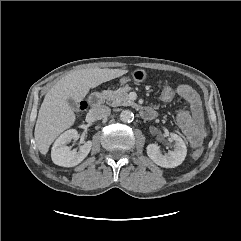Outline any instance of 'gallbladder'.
Returning a JSON list of instances; mask_svg holds the SVG:
<instances>
[{"instance_id": "1", "label": "gallbladder", "mask_w": 241, "mask_h": 241, "mask_svg": "<svg viewBox=\"0 0 241 241\" xmlns=\"http://www.w3.org/2000/svg\"><path fill=\"white\" fill-rule=\"evenodd\" d=\"M68 101V104H69V106L74 110V111H78V104H77V102L75 101V100H73V99H68L67 100Z\"/></svg>"}]
</instances>
